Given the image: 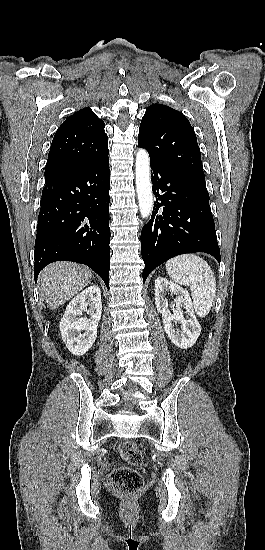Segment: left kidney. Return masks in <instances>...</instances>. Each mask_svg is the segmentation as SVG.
Instances as JSON below:
<instances>
[{
    "mask_svg": "<svg viewBox=\"0 0 265 550\" xmlns=\"http://www.w3.org/2000/svg\"><path fill=\"white\" fill-rule=\"evenodd\" d=\"M166 292L176 295L174 314L168 309ZM154 295L157 311L162 314L164 330L169 339L181 349L192 347L201 333V326L196 319L188 291L163 277H158L155 280ZM182 308L186 310L187 319L183 315ZM174 322L181 324V331L175 328Z\"/></svg>",
    "mask_w": 265,
    "mask_h": 550,
    "instance_id": "left-kidney-1",
    "label": "left kidney"
}]
</instances>
